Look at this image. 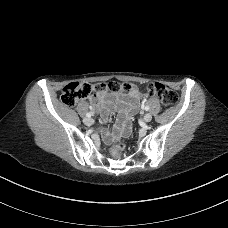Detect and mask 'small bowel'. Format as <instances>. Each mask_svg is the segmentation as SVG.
<instances>
[{
    "label": "small bowel",
    "instance_id": "obj_1",
    "mask_svg": "<svg viewBox=\"0 0 228 228\" xmlns=\"http://www.w3.org/2000/svg\"><path fill=\"white\" fill-rule=\"evenodd\" d=\"M140 99L141 94L137 90H134L130 96H124L121 93H113L106 90L89 98V102L99 110L103 122H107L108 116L112 111L117 110L119 112L114 131H104L105 139L108 142L130 134L129 118L137 111Z\"/></svg>",
    "mask_w": 228,
    "mask_h": 228
}]
</instances>
